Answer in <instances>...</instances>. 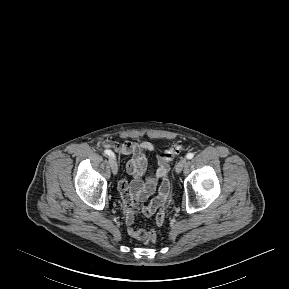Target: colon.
Here are the masks:
<instances>
[{
    "label": "colon",
    "mask_w": 289,
    "mask_h": 289,
    "mask_svg": "<svg viewBox=\"0 0 289 289\" xmlns=\"http://www.w3.org/2000/svg\"><path fill=\"white\" fill-rule=\"evenodd\" d=\"M181 148H182V144L180 142H176L164 150V156L167 159H172L176 154L180 152ZM157 238L158 237H157L156 232L154 230H151L145 242L155 243L157 241Z\"/></svg>",
    "instance_id": "5ec220e1"
}]
</instances>
